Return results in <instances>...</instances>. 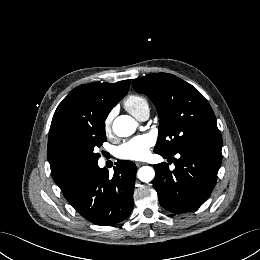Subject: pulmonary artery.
<instances>
[{
	"label": "pulmonary artery",
	"mask_w": 260,
	"mask_h": 260,
	"mask_svg": "<svg viewBox=\"0 0 260 260\" xmlns=\"http://www.w3.org/2000/svg\"><path fill=\"white\" fill-rule=\"evenodd\" d=\"M149 113H150L149 107H145L139 112L137 118H139L140 120H146L149 117Z\"/></svg>",
	"instance_id": "pulmonary-artery-1"
}]
</instances>
